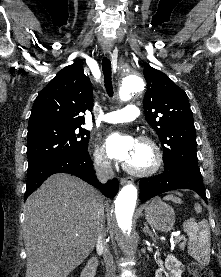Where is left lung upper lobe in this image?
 I'll return each mask as SVG.
<instances>
[{
	"label": "left lung upper lobe",
	"mask_w": 221,
	"mask_h": 277,
	"mask_svg": "<svg viewBox=\"0 0 221 277\" xmlns=\"http://www.w3.org/2000/svg\"><path fill=\"white\" fill-rule=\"evenodd\" d=\"M144 76L148 85L143 101L145 117L163 144L165 171L186 168L201 175L193 113L186 93L149 65L144 68Z\"/></svg>",
	"instance_id": "1"
}]
</instances>
